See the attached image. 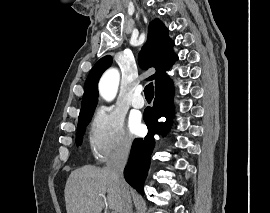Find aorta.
<instances>
[{
	"label": "aorta",
	"instance_id": "762f6f07",
	"mask_svg": "<svg viewBox=\"0 0 270 213\" xmlns=\"http://www.w3.org/2000/svg\"><path fill=\"white\" fill-rule=\"evenodd\" d=\"M120 75L117 69H109L102 76L99 91L103 99L111 101L117 93Z\"/></svg>",
	"mask_w": 270,
	"mask_h": 213
}]
</instances>
